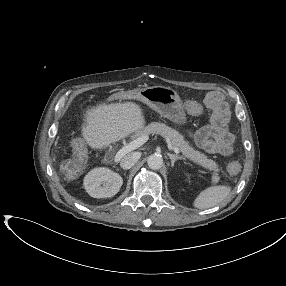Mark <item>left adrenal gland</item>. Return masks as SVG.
<instances>
[{
  "mask_svg": "<svg viewBox=\"0 0 286 286\" xmlns=\"http://www.w3.org/2000/svg\"><path fill=\"white\" fill-rule=\"evenodd\" d=\"M169 158L171 159V166L173 167L177 160H184V157L178 156L175 154L168 153Z\"/></svg>",
  "mask_w": 286,
  "mask_h": 286,
  "instance_id": "a2214340",
  "label": "left adrenal gland"
}]
</instances>
